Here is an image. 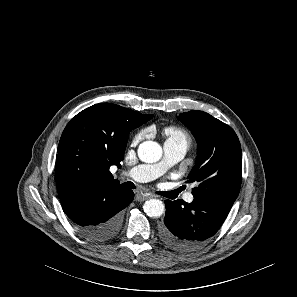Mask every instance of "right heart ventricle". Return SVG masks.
Here are the masks:
<instances>
[{
	"mask_svg": "<svg viewBox=\"0 0 297 297\" xmlns=\"http://www.w3.org/2000/svg\"><path fill=\"white\" fill-rule=\"evenodd\" d=\"M163 134L166 138V142H181L185 141L190 143V137L186 131L178 127H167L164 129Z\"/></svg>",
	"mask_w": 297,
	"mask_h": 297,
	"instance_id": "right-heart-ventricle-1",
	"label": "right heart ventricle"
}]
</instances>
